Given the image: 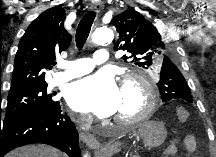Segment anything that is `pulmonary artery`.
I'll list each match as a JSON object with an SVG mask.
<instances>
[{
	"instance_id": "pulmonary-artery-1",
	"label": "pulmonary artery",
	"mask_w": 216,
	"mask_h": 157,
	"mask_svg": "<svg viewBox=\"0 0 216 157\" xmlns=\"http://www.w3.org/2000/svg\"><path fill=\"white\" fill-rule=\"evenodd\" d=\"M108 59V51L106 49H98L91 57L67 61L62 66L64 70L53 75L52 83L58 85L85 75L92 71L96 65L108 62Z\"/></svg>"
}]
</instances>
